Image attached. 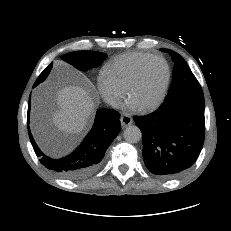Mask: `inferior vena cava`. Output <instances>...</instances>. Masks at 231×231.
I'll list each match as a JSON object with an SVG mask.
<instances>
[{"label":"inferior vena cava","mask_w":231,"mask_h":231,"mask_svg":"<svg viewBox=\"0 0 231 231\" xmlns=\"http://www.w3.org/2000/svg\"><path fill=\"white\" fill-rule=\"evenodd\" d=\"M104 101L114 108H117L119 106V101L113 96H105Z\"/></svg>","instance_id":"602c4592"}]
</instances>
